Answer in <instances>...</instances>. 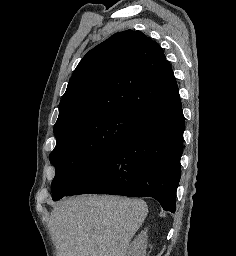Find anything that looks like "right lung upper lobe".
Segmentation results:
<instances>
[{
    "mask_svg": "<svg viewBox=\"0 0 236 256\" xmlns=\"http://www.w3.org/2000/svg\"><path fill=\"white\" fill-rule=\"evenodd\" d=\"M178 97L176 78L159 45L140 31L119 32L76 67L60 101L54 133L119 111L142 120Z\"/></svg>",
    "mask_w": 236,
    "mask_h": 256,
    "instance_id": "1",
    "label": "right lung upper lobe"
}]
</instances>
